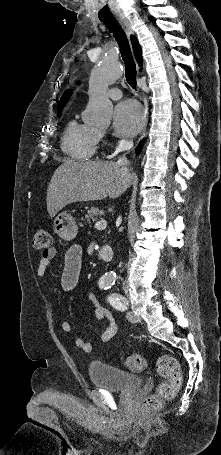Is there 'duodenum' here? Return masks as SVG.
<instances>
[{
    "instance_id": "duodenum-1",
    "label": "duodenum",
    "mask_w": 221,
    "mask_h": 455,
    "mask_svg": "<svg viewBox=\"0 0 221 455\" xmlns=\"http://www.w3.org/2000/svg\"><path fill=\"white\" fill-rule=\"evenodd\" d=\"M99 255L104 261H110L113 257V250L109 245H103L99 249Z\"/></svg>"
}]
</instances>
